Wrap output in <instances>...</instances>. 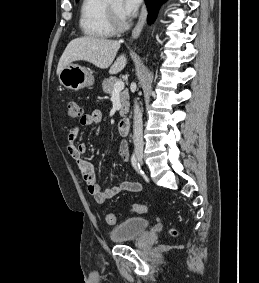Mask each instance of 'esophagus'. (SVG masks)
<instances>
[{"mask_svg":"<svg viewBox=\"0 0 259 283\" xmlns=\"http://www.w3.org/2000/svg\"><path fill=\"white\" fill-rule=\"evenodd\" d=\"M146 18H147V9H146V6L144 5L142 7V10H141V14L139 16V19H138V22L134 28V30L132 31V38L133 39H137L145 25V22H146Z\"/></svg>","mask_w":259,"mask_h":283,"instance_id":"34e87169","label":"esophagus"}]
</instances>
